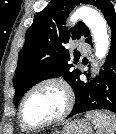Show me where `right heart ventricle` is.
<instances>
[{"label":"right heart ventricle","instance_id":"obj_1","mask_svg":"<svg viewBox=\"0 0 116 134\" xmlns=\"http://www.w3.org/2000/svg\"><path fill=\"white\" fill-rule=\"evenodd\" d=\"M20 128H21L22 131L27 130V128L23 127L21 124H20Z\"/></svg>","mask_w":116,"mask_h":134}]
</instances>
